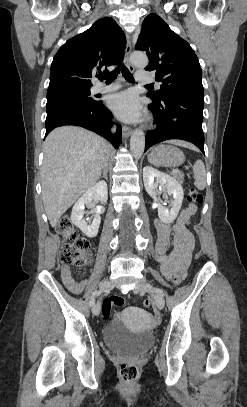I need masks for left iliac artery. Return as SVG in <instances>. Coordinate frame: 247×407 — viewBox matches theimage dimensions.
Masks as SVG:
<instances>
[{"label": "left iliac artery", "mask_w": 247, "mask_h": 407, "mask_svg": "<svg viewBox=\"0 0 247 407\" xmlns=\"http://www.w3.org/2000/svg\"><path fill=\"white\" fill-rule=\"evenodd\" d=\"M155 291L157 293H159L160 295L164 296V292L161 289L157 288V289H155Z\"/></svg>", "instance_id": "left-iliac-artery-1"}]
</instances>
